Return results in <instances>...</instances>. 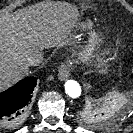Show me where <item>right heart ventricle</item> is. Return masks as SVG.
<instances>
[{"label":"right heart ventricle","instance_id":"1","mask_svg":"<svg viewBox=\"0 0 133 133\" xmlns=\"http://www.w3.org/2000/svg\"><path fill=\"white\" fill-rule=\"evenodd\" d=\"M93 20L91 19H84L78 23L76 26V30L79 32H84L88 29H90L93 26Z\"/></svg>","mask_w":133,"mask_h":133}]
</instances>
